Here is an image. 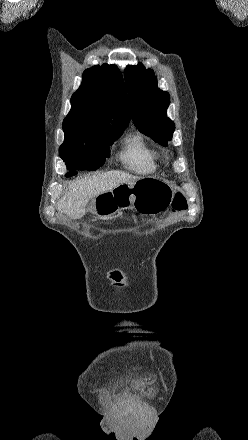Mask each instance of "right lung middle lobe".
<instances>
[{
    "label": "right lung middle lobe",
    "instance_id": "dd1d6c3e",
    "mask_svg": "<svg viewBox=\"0 0 248 440\" xmlns=\"http://www.w3.org/2000/svg\"><path fill=\"white\" fill-rule=\"evenodd\" d=\"M123 131L89 136L82 142L60 148V157L69 170H96L104 164L105 158L110 156L109 146L122 135ZM75 174L77 172L71 171L66 176Z\"/></svg>",
    "mask_w": 248,
    "mask_h": 440
}]
</instances>
